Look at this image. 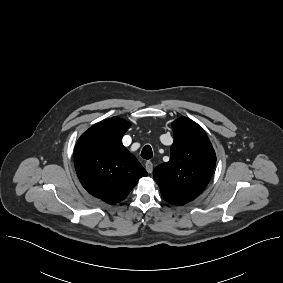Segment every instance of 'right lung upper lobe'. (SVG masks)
<instances>
[{
	"label": "right lung upper lobe",
	"instance_id": "cb5924a9",
	"mask_svg": "<svg viewBox=\"0 0 283 283\" xmlns=\"http://www.w3.org/2000/svg\"><path fill=\"white\" fill-rule=\"evenodd\" d=\"M130 123L112 117L90 127L76 143L74 162L83 187L114 204L125 199L147 172L122 144Z\"/></svg>",
	"mask_w": 283,
	"mask_h": 283
}]
</instances>
